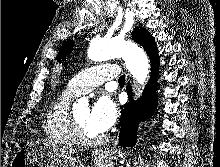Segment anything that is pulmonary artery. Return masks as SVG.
I'll use <instances>...</instances> for the list:
<instances>
[{
    "instance_id": "pulmonary-artery-1",
    "label": "pulmonary artery",
    "mask_w": 220,
    "mask_h": 167,
    "mask_svg": "<svg viewBox=\"0 0 220 167\" xmlns=\"http://www.w3.org/2000/svg\"><path fill=\"white\" fill-rule=\"evenodd\" d=\"M119 76L118 65L107 63L78 73L70 80L67 89L76 95H81L97 88L105 81L119 78Z\"/></svg>"
}]
</instances>
